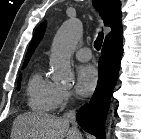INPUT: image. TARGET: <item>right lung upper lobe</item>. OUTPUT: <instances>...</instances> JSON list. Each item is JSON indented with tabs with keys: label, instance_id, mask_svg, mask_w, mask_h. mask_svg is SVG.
Listing matches in <instances>:
<instances>
[{
	"label": "right lung upper lobe",
	"instance_id": "cb5924a9",
	"mask_svg": "<svg viewBox=\"0 0 141 139\" xmlns=\"http://www.w3.org/2000/svg\"><path fill=\"white\" fill-rule=\"evenodd\" d=\"M95 7L102 15L104 25L112 27V32L106 36L105 41L113 39L122 34L121 27V4L119 0H93ZM46 23L38 26L33 36V40L28 48L24 65H27L35 48L38 46L45 32Z\"/></svg>",
	"mask_w": 141,
	"mask_h": 139
}]
</instances>
